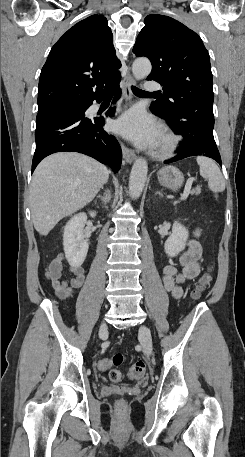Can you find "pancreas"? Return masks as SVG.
<instances>
[{
	"label": "pancreas",
	"instance_id": "pancreas-1",
	"mask_svg": "<svg viewBox=\"0 0 245 457\" xmlns=\"http://www.w3.org/2000/svg\"><path fill=\"white\" fill-rule=\"evenodd\" d=\"M193 192H195V194H200V192H201L200 186H196V188H194Z\"/></svg>",
	"mask_w": 245,
	"mask_h": 457
}]
</instances>
